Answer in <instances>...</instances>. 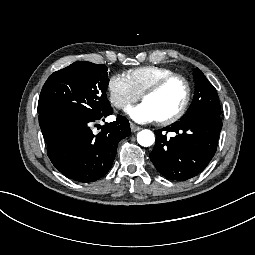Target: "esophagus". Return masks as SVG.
Instances as JSON below:
<instances>
[{
  "instance_id": "34e87169",
  "label": "esophagus",
  "mask_w": 255,
  "mask_h": 255,
  "mask_svg": "<svg viewBox=\"0 0 255 255\" xmlns=\"http://www.w3.org/2000/svg\"><path fill=\"white\" fill-rule=\"evenodd\" d=\"M130 127H131V131L132 132H136V131L141 129L138 125H136V124H134L132 122L130 123Z\"/></svg>"
}]
</instances>
